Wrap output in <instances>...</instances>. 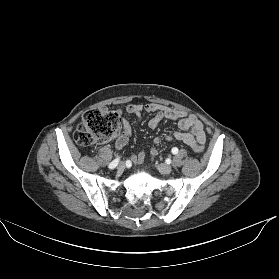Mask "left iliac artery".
Returning <instances> with one entry per match:
<instances>
[{"instance_id":"1","label":"left iliac artery","mask_w":279,"mask_h":279,"mask_svg":"<svg viewBox=\"0 0 279 279\" xmlns=\"http://www.w3.org/2000/svg\"><path fill=\"white\" fill-rule=\"evenodd\" d=\"M171 151H172L173 154H177L178 153V148L177 147H173Z\"/></svg>"}]
</instances>
